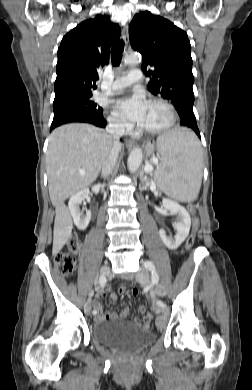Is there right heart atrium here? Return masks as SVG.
I'll use <instances>...</instances> for the list:
<instances>
[{"mask_svg":"<svg viewBox=\"0 0 252 390\" xmlns=\"http://www.w3.org/2000/svg\"><path fill=\"white\" fill-rule=\"evenodd\" d=\"M109 124L112 128L117 129L119 131H128L130 129V125L117 114L112 113L108 117Z\"/></svg>","mask_w":252,"mask_h":390,"instance_id":"right-heart-atrium-1","label":"right heart atrium"}]
</instances>
